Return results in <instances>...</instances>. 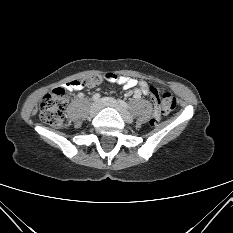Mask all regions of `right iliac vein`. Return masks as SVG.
Masks as SVG:
<instances>
[{
  "label": "right iliac vein",
  "instance_id": "obj_1",
  "mask_svg": "<svg viewBox=\"0 0 233 233\" xmlns=\"http://www.w3.org/2000/svg\"><path fill=\"white\" fill-rule=\"evenodd\" d=\"M102 105L100 102H94L91 106H90V110L89 113L91 116H95L96 114H98V112L101 110Z\"/></svg>",
  "mask_w": 233,
  "mask_h": 233
}]
</instances>
